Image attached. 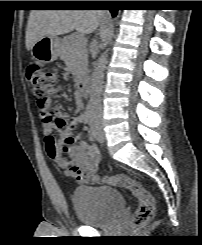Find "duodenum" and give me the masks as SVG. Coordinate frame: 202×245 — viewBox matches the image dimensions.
Wrapping results in <instances>:
<instances>
[{
    "instance_id": "1",
    "label": "duodenum",
    "mask_w": 202,
    "mask_h": 245,
    "mask_svg": "<svg viewBox=\"0 0 202 245\" xmlns=\"http://www.w3.org/2000/svg\"><path fill=\"white\" fill-rule=\"evenodd\" d=\"M90 87L88 78H82L78 81V89L81 95H87Z\"/></svg>"
}]
</instances>
